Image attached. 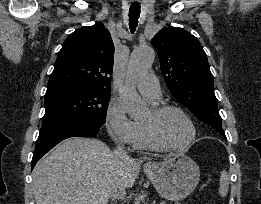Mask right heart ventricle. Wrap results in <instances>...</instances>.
<instances>
[{
	"label": "right heart ventricle",
	"instance_id": "obj_1",
	"mask_svg": "<svg viewBox=\"0 0 261 204\" xmlns=\"http://www.w3.org/2000/svg\"><path fill=\"white\" fill-rule=\"evenodd\" d=\"M151 104L153 106H156L159 104V102H151ZM133 145L135 148L141 150L156 151L161 149L149 137L145 129V126L143 124V121L135 122V138H134Z\"/></svg>",
	"mask_w": 261,
	"mask_h": 204
}]
</instances>
